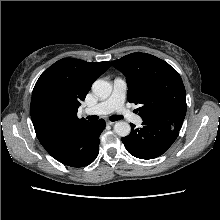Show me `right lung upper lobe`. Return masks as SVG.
Masks as SVG:
<instances>
[{"instance_id": "cb5924a9", "label": "right lung upper lobe", "mask_w": 220, "mask_h": 220, "mask_svg": "<svg viewBox=\"0 0 220 220\" xmlns=\"http://www.w3.org/2000/svg\"><path fill=\"white\" fill-rule=\"evenodd\" d=\"M110 64L109 61L64 58L41 74L33 89L30 113L37 138L49 154L60 149L77 129L89 123L77 117L78 107L92 83ZM45 106L47 112L43 110Z\"/></svg>"}]
</instances>
